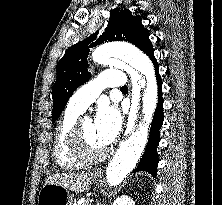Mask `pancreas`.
Returning a JSON list of instances; mask_svg holds the SVG:
<instances>
[{
  "instance_id": "cf45deb5",
  "label": "pancreas",
  "mask_w": 222,
  "mask_h": 205,
  "mask_svg": "<svg viewBox=\"0 0 222 205\" xmlns=\"http://www.w3.org/2000/svg\"><path fill=\"white\" fill-rule=\"evenodd\" d=\"M73 205H90V204H89V201L86 200V201L82 202L81 204L74 203Z\"/></svg>"
}]
</instances>
